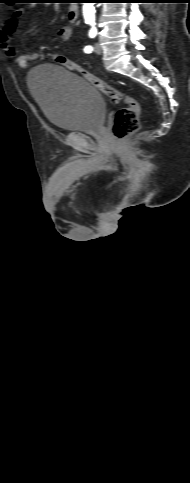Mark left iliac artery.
Listing matches in <instances>:
<instances>
[{"mask_svg": "<svg viewBox=\"0 0 190 483\" xmlns=\"http://www.w3.org/2000/svg\"><path fill=\"white\" fill-rule=\"evenodd\" d=\"M94 25V24H93ZM96 36V29L95 28H92L90 31H89V37L93 38ZM93 51V47L88 45L84 48V52L85 53H91Z\"/></svg>", "mask_w": 190, "mask_h": 483, "instance_id": "obj_1", "label": "left iliac artery"}]
</instances>
